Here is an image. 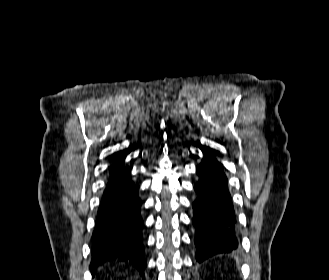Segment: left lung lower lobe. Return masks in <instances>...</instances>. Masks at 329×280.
Returning <instances> with one entry per match:
<instances>
[{
  "label": "left lung lower lobe",
  "mask_w": 329,
  "mask_h": 280,
  "mask_svg": "<svg viewBox=\"0 0 329 280\" xmlns=\"http://www.w3.org/2000/svg\"><path fill=\"white\" fill-rule=\"evenodd\" d=\"M204 158L196 171L199 182L194 190L193 225L196 230V260L219 253L231 252L238 246L235 231V213L227 188V179L221 164L210 149H202Z\"/></svg>",
  "instance_id": "0a47b994"
}]
</instances>
